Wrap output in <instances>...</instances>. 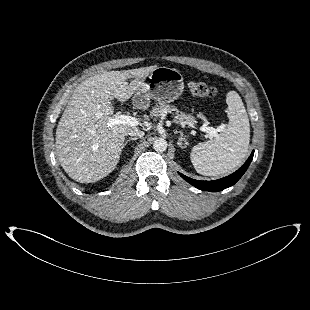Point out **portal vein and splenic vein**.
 <instances>
[{
  "label": "portal vein and splenic vein",
  "instance_id": "obj_1",
  "mask_svg": "<svg viewBox=\"0 0 310 310\" xmlns=\"http://www.w3.org/2000/svg\"><path fill=\"white\" fill-rule=\"evenodd\" d=\"M118 124H128L130 126H136L138 124V120L135 117L124 114L116 115L108 120L109 127H113ZM222 128L223 126H220L217 129L213 127L202 126V131L208 133L209 138H212L214 136H217V132H219Z\"/></svg>",
  "mask_w": 310,
  "mask_h": 310
}]
</instances>
